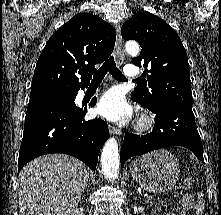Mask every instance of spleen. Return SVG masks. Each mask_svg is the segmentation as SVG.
I'll return each mask as SVG.
<instances>
[{"label": "spleen", "mask_w": 221, "mask_h": 215, "mask_svg": "<svg viewBox=\"0 0 221 215\" xmlns=\"http://www.w3.org/2000/svg\"><path fill=\"white\" fill-rule=\"evenodd\" d=\"M202 197H203V194L198 193V204H199L198 210L199 211H202L204 209V202L202 200Z\"/></svg>", "instance_id": "spleen-1"}]
</instances>
